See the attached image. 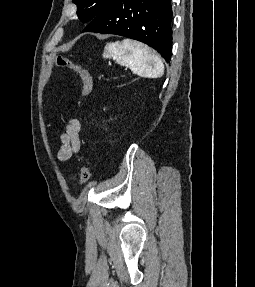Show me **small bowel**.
Returning <instances> with one entry per match:
<instances>
[{"instance_id":"c3829d8e","label":"small bowel","mask_w":255,"mask_h":287,"mask_svg":"<svg viewBox=\"0 0 255 287\" xmlns=\"http://www.w3.org/2000/svg\"><path fill=\"white\" fill-rule=\"evenodd\" d=\"M80 124L76 119H72L65 127V131L60 135V147L57 152V159L60 162L68 161L80 150Z\"/></svg>"}]
</instances>
